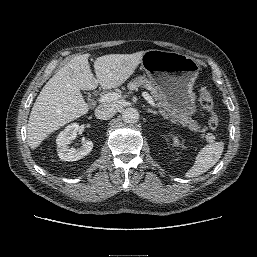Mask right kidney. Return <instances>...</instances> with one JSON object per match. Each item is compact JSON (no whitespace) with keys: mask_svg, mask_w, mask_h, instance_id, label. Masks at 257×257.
Here are the masks:
<instances>
[{"mask_svg":"<svg viewBox=\"0 0 257 257\" xmlns=\"http://www.w3.org/2000/svg\"><path fill=\"white\" fill-rule=\"evenodd\" d=\"M78 129L79 125L72 123L58 134L56 139L57 153L61 160L77 161L91 152L93 142L90 140H84L80 148L69 147V144L76 138Z\"/></svg>","mask_w":257,"mask_h":257,"instance_id":"ca27d5eb","label":"right kidney"}]
</instances>
